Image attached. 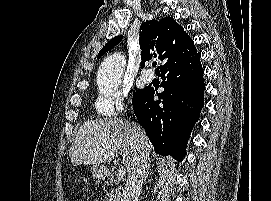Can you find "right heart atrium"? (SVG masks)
I'll return each instance as SVG.
<instances>
[{"instance_id":"obj_1","label":"right heart atrium","mask_w":271,"mask_h":201,"mask_svg":"<svg viewBox=\"0 0 271 201\" xmlns=\"http://www.w3.org/2000/svg\"><path fill=\"white\" fill-rule=\"evenodd\" d=\"M125 100L126 98L123 94L112 91L108 94L99 95L95 100L94 107L99 114L114 117L124 111Z\"/></svg>"}]
</instances>
